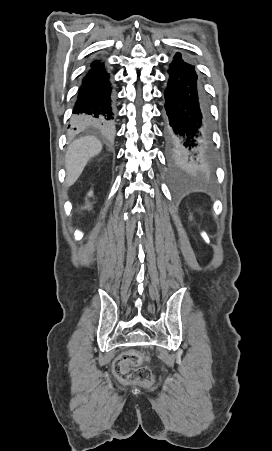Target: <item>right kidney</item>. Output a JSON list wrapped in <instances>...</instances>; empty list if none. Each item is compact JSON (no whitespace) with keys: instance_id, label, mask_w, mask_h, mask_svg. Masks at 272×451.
<instances>
[{"instance_id":"ca27d5eb","label":"right kidney","mask_w":272,"mask_h":451,"mask_svg":"<svg viewBox=\"0 0 272 451\" xmlns=\"http://www.w3.org/2000/svg\"><path fill=\"white\" fill-rule=\"evenodd\" d=\"M93 192H89L88 196H92ZM86 208H90V206H86Z\"/></svg>"}]
</instances>
